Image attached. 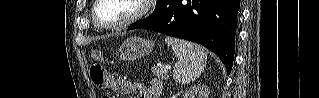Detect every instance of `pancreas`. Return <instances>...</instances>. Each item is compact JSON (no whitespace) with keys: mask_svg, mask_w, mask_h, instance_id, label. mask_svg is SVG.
<instances>
[{"mask_svg":"<svg viewBox=\"0 0 319 98\" xmlns=\"http://www.w3.org/2000/svg\"><path fill=\"white\" fill-rule=\"evenodd\" d=\"M153 75H155L158 79L165 80L167 78V70H163L161 67L154 66L151 68Z\"/></svg>","mask_w":319,"mask_h":98,"instance_id":"pancreas-1","label":"pancreas"}]
</instances>
